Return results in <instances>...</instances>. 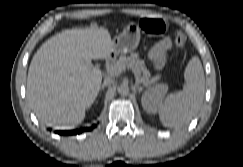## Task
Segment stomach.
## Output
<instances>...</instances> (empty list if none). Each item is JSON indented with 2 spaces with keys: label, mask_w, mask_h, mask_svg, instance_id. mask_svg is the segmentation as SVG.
<instances>
[{
  "label": "stomach",
  "mask_w": 243,
  "mask_h": 167,
  "mask_svg": "<svg viewBox=\"0 0 243 167\" xmlns=\"http://www.w3.org/2000/svg\"><path fill=\"white\" fill-rule=\"evenodd\" d=\"M140 41V28L135 23L128 24L122 33L113 40V53L123 55L132 52L138 47Z\"/></svg>",
  "instance_id": "1"
}]
</instances>
